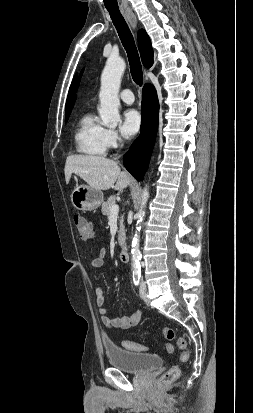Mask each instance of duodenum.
<instances>
[{
	"label": "duodenum",
	"instance_id": "obj_1",
	"mask_svg": "<svg viewBox=\"0 0 253 413\" xmlns=\"http://www.w3.org/2000/svg\"><path fill=\"white\" fill-rule=\"evenodd\" d=\"M119 258L122 262L126 263L129 261L130 254H129V249L126 245H124L119 253Z\"/></svg>",
	"mask_w": 253,
	"mask_h": 413
}]
</instances>
